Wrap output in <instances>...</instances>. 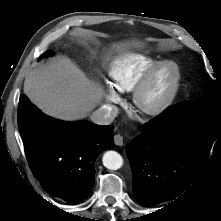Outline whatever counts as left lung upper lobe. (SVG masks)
<instances>
[{"mask_svg":"<svg viewBox=\"0 0 221 221\" xmlns=\"http://www.w3.org/2000/svg\"><path fill=\"white\" fill-rule=\"evenodd\" d=\"M221 96L218 97L214 84L207 89L206 93L197 101H184L176 105V116L178 121L187 123H203L214 126L221 125L219 105Z\"/></svg>","mask_w":221,"mask_h":221,"instance_id":"left-lung-upper-lobe-1","label":"left lung upper lobe"}]
</instances>
